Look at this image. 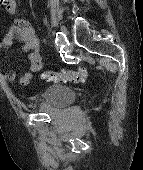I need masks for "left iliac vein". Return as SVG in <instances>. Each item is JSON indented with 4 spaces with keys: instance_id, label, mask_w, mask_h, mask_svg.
Listing matches in <instances>:
<instances>
[{
    "instance_id": "4c4485c4",
    "label": "left iliac vein",
    "mask_w": 143,
    "mask_h": 170,
    "mask_svg": "<svg viewBox=\"0 0 143 170\" xmlns=\"http://www.w3.org/2000/svg\"><path fill=\"white\" fill-rule=\"evenodd\" d=\"M61 31H62L65 35H67V30H66V28H65L64 26H61ZM67 50H68V52H70V51H71V46H68V47H67Z\"/></svg>"
}]
</instances>
